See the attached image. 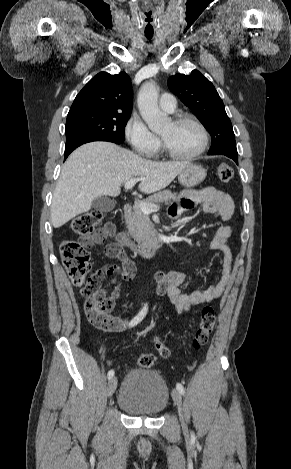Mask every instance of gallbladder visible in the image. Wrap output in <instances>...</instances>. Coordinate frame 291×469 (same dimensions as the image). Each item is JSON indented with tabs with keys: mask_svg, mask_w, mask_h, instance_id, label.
I'll use <instances>...</instances> for the list:
<instances>
[{
	"mask_svg": "<svg viewBox=\"0 0 291 469\" xmlns=\"http://www.w3.org/2000/svg\"><path fill=\"white\" fill-rule=\"evenodd\" d=\"M92 207L100 212H110L115 207V202L106 196H101L93 200Z\"/></svg>",
	"mask_w": 291,
	"mask_h": 469,
	"instance_id": "obj_1",
	"label": "gallbladder"
}]
</instances>
